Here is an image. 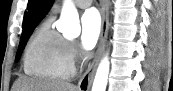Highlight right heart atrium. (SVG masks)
I'll return each instance as SVG.
<instances>
[{
  "label": "right heart atrium",
  "mask_w": 173,
  "mask_h": 91,
  "mask_svg": "<svg viewBox=\"0 0 173 91\" xmlns=\"http://www.w3.org/2000/svg\"><path fill=\"white\" fill-rule=\"evenodd\" d=\"M69 53L72 60L76 59L79 55V52L74 43H69Z\"/></svg>",
  "instance_id": "obj_1"
}]
</instances>
